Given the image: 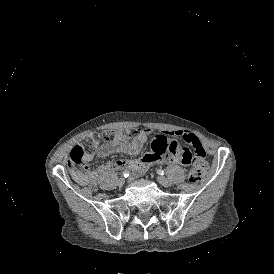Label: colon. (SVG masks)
Masks as SVG:
<instances>
[{"mask_svg": "<svg viewBox=\"0 0 274 274\" xmlns=\"http://www.w3.org/2000/svg\"><path fill=\"white\" fill-rule=\"evenodd\" d=\"M121 133H124L125 138L133 139L136 135V130L135 128H128L125 131L107 130L104 131L101 136L107 142H114ZM99 140L100 137L97 134H94L84 138L81 145H75L67 159V166L69 168H75L80 165L84 155L91 153ZM205 170L206 163L203 160H196L194 164L190 166L188 171V181L193 184L198 183L201 179V173H203Z\"/></svg>", "mask_w": 274, "mask_h": 274, "instance_id": "5ec220e1", "label": "colon"}]
</instances>
